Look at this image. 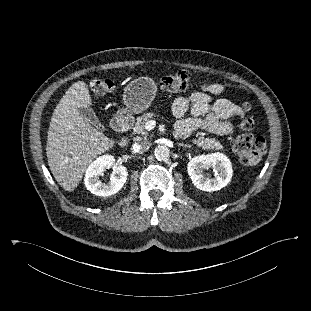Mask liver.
Segmentation results:
<instances>
[{
    "label": "liver",
    "instance_id": "6515ba94",
    "mask_svg": "<svg viewBox=\"0 0 311 311\" xmlns=\"http://www.w3.org/2000/svg\"><path fill=\"white\" fill-rule=\"evenodd\" d=\"M91 105L87 84L78 81L66 91L51 118L46 146L48 165L55 180L68 192L78 186L92 160L115 144L81 114L80 109Z\"/></svg>",
    "mask_w": 311,
    "mask_h": 311
}]
</instances>
